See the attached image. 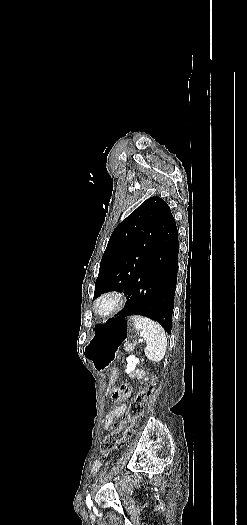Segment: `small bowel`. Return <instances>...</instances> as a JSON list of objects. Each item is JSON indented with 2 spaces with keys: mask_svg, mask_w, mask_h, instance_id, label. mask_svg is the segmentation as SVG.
I'll return each instance as SVG.
<instances>
[{
  "mask_svg": "<svg viewBox=\"0 0 247 525\" xmlns=\"http://www.w3.org/2000/svg\"><path fill=\"white\" fill-rule=\"evenodd\" d=\"M131 378H137L142 380L143 382H146L148 380V377L144 370L142 369H136L132 372ZM113 389V388H112ZM111 389V390H112ZM127 411V406L124 403H121L117 405L112 412L108 414L106 417L104 427L106 431H109L113 428V426L117 423V420L120 419L125 415ZM101 468V462L100 460H95L92 465V471L93 473H97Z\"/></svg>",
  "mask_w": 247,
  "mask_h": 525,
  "instance_id": "obj_1",
  "label": "small bowel"
}]
</instances>
